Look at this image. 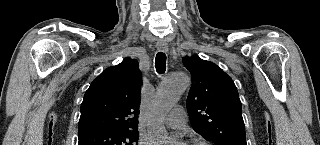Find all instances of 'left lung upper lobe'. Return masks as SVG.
<instances>
[{
	"label": "left lung upper lobe",
	"instance_id": "1",
	"mask_svg": "<svg viewBox=\"0 0 320 145\" xmlns=\"http://www.w3.org/2000/svg\"><path fill=\"white\" fill-rule=\"evenodd\" d=\"M183 62L192 77L186 106L194 131L215 145H247L241 101L231 77L197 55Z\"/></svg>",
	"mask_w": 320,
	"mask_h": 145
}]
</instances>
